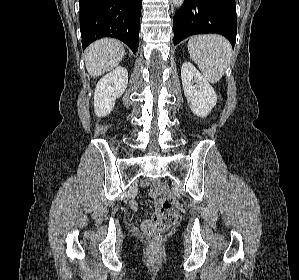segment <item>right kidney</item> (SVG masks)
Listing matches in <instances>:
<instances>
[{
    "label": "right kidney",
    "mask_w": 299,
    "mask_h": 280,
    "mask_svg": "<svg viewBox=\"0 0 299 280\" xmlns=\"http://www.w3.org/2000/svg\"><path fill=\"white\" fill-rule=\"evenodd\" d=\"M128 84V72L123 67H117L102 77L96 85L94 94V111L98 117L109 114L115 100L122 96Z\"/></svg>",
    "instance_id": "obj_1"
}]
</instances>
